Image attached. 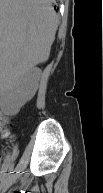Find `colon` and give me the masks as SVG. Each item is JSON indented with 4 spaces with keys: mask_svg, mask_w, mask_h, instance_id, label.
Wrapping results in <instances>:
<instances>
[{
    "mask_svg": "<svg viewBox=\"0 0 103 193\" xmlns=\"http://www.w3.org/2000/svg\"><path fill=\"white\" fill-rule=\"evenodd\" d=\"M9 132H10V130L7 127H5V126L1 127V137L2 138H8Z\"/></svg>",
    "mask_w": 103,
    "mask_h": 193,
    "instance_id": "obj_1",
    "label": "colon"
}]
</instances>
